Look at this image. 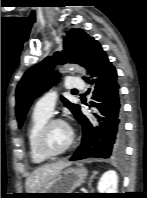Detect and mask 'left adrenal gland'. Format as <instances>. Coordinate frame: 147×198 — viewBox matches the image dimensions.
<instances>
[{
    "mask_svg": "<svg viewBox=\"0 0 147 198\" xmlns=\"http://www.w3.org/2000/svg\"><path fill=\"white\" fill-rule=\"evenodd\" d=\"M97 173H98L97 171H93V175L90 177V180H89V183H88V186H89L90 189H92V187H91V181L95 177V175H97Z\"/></svg>",
    "mask_w": 147,
    "mask_h": 198,
    "instance_id": "left-adrenal-gland-1",
    "label": "left adrenal gland"
}]
</instances>
